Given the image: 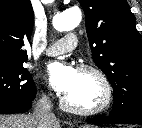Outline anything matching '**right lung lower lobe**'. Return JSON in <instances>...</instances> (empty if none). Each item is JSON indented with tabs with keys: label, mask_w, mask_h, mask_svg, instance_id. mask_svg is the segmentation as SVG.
Returning <instances> with one entry per match:
<instances>
[{
	"label": "right lung lower lobe",
	"mask_w": 142,
	"mask_h": 128,
	"mask_svg": "<svg viewBox=\"0 0 142 128\" xmlns=\"http://www.w3.org/2000/svg\"><path fill=\"white\" fill-rule=\"evenodd\" d=\"M34 98H32L30 101H0V114H14L26 112L31 108Z\"/></svg>",
	"instance_id": "right-lung-lower-lobe-1"
}]
</instances>
